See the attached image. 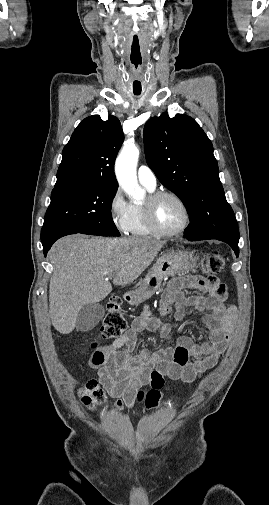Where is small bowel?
I'll list each match as a JSON object with an SVG mask.
<instances>
[{"label": "small bowel", "instance_id": "c3829d8e", "mask_svg": "<svg viewBox=\"0 0 269 505\" xmlns=\"http://www.w3.org/2000/svg\"><path fill=\"white\" fill-rule=\"evenodd\" d=\"M202 277L189 276L176 279L161 302L160 312L174 313L172 302L178 304L176 318L184 320L194 312L202 314V321L208 330V340L195 343L188 336L178 338L174 347L158 350L150 354L147 350L136 351L137 334L150 330L166 336L171 326L149 317L145 310L135 318L130 329L122 336L95 351L90 365L97 370L99 382L110 395L117 398L116 408H131L137 390L148 384L152 371L157 370L171 379L191 383L208 373L224 354L236 318V308L225 304L226 286L209 278V272ZM183 287L199 289L205 295L184 297ZM186 307H188L186 309ZM135 352L134 355L131 353Z\"/></svg>", "mask_w": 269, "mask_h": 505}]
</instances>
